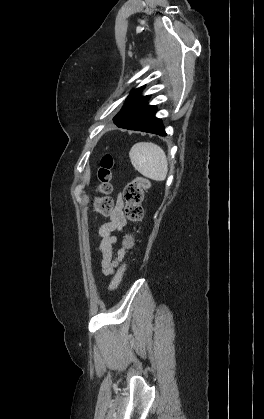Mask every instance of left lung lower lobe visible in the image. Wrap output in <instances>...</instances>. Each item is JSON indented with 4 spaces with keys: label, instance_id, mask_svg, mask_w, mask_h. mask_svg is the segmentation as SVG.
<instances>
[{
    "label": "left lung lower lobe",
    "instance_id": "1",
    "mask_svg": "<svg viewBox=\"0 0 264 419\" xmlns=\"http://www.w3.org/2000/svg\"><path fill=\"white\" fill-rule=\"evenodd\" d=\"M149 96H139L129 102L124 114L113 119L120 128L166 136L162 121L155 117V106L148 105Z\"/></svg>",
    "mask_w": 264,
    "mask_h": 419
}]
</instances>
